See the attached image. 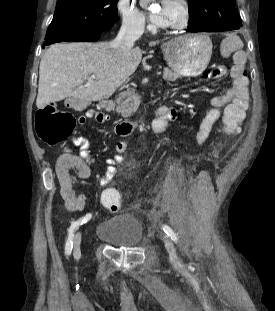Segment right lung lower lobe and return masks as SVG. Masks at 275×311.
I'll return each mask as SVG.
<instances>
[{
	"label": "right lung lower lobe",
	"mask_w": 275,
	"mask_h": 311,
	"mask_svg": "<svg viewBox=\"0 0 275 311\" xmlns=\"http://www.w3.org/2000/svg\"><path fill=\"white\" fill-rule=\"evenodd\" d=\"M103 33H104V31H101L99 29L82 31V32H78V33L72 34L70 36L64 37L62 39L45 41L43 48L46 45H50V44L62 42V41H66V42H95L100 38V36Z\"/></svg>",
	"instance_id": "98d812e1"
}]
</instances>
